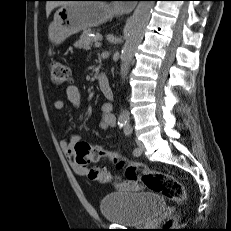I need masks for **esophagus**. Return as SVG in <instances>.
Masks as SVG:
<instances>
[{"label":"esophagus","instance_id":"34e87169","mask_svg":"<svg viewBox=\"0 0 231 231\" xmlns=\"http://www.w3.org/2000/svg\"><path fill=\"white\" fill-rule=\"evenodd\" d=\"M120 7L126 11H132L135 5L134 4H120Z\"/></svg>","mask_w":231,"mask_h":231}]
</instances>
